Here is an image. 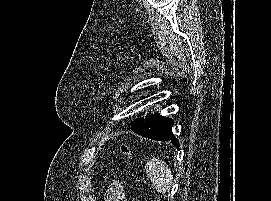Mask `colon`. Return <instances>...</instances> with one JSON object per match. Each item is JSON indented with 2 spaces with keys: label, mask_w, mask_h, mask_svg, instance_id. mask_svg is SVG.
Wrapping results in <instances>:
<instances>
[{
  "label": "colon",
  "mask_w": 271,
  "mask_h": 201,
  "mask_svg": "<svg viewBox=\"0 0 271 201\" xmlns=\"http://www.w3.org/2000/svg\"><path fill=\"white\" fill-rule=\"evenodd\" d=\"M121 150H122L123 154L125 155V157L129 160L130 155H131L129 147L127 145L123 144L121 146Z\"/></svg>",
  "instance_id": "colon-1"
}]
</instances>
